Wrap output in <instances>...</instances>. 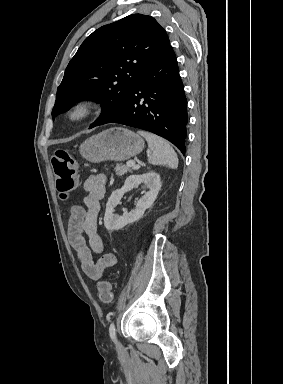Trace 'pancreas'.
<instances>
[{"mask_svg": "<svg viewBox=\"0 0 283 384\" xmlns=\"http://www.w3.org/2000/svg\"><path fill=\"white\" fill-rule=\"evenodd\" d=\"M115 172L117 176H123V174H127V172H131L129 166H116Z\"/></svg>", "mask_w": 283, "mask_h": 384, "instance_id": "obj_1", "label": "pancreas"}]
</instances>
